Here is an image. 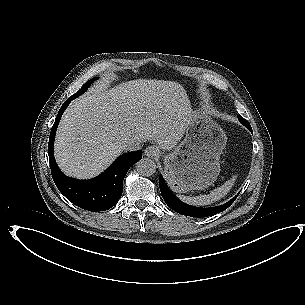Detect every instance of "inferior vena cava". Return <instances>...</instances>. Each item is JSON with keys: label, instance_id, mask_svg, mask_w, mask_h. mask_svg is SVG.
Instances as JSON below:
<instances>
[{"label": "inferior vena cava", "instance_id": "obj_1", "mask_svg": "<svg viewBox=\"0 0 305 305\" xmlns=\"http://www.w3.org/2000/svg\"><path fill=\"white\" fill-rule=\"evenodd\" d=\"M142 142L134 139H127L123 143V149L125 151H137L141 149Z\"/></svg>", "mask_w": 305, "mask_h": 305}]
</instances>
